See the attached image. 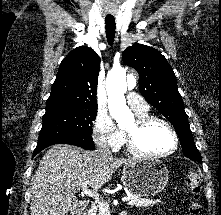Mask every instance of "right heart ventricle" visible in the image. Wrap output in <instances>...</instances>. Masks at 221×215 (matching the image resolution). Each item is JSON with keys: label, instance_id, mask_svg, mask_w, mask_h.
<instances>
[{"label": "right heart ventricle", "instance_id": "1", "mask_svg": "<svg viewBox=\"0 0 221 215\" xmlns=\"http://www.w3.org/2000/svg\"><path fill=\"white\" fill-rule=\"evenodd\" d=\"M138 117H143V116H147V112L144 113H135Z\"/></svg>", "mask_w": 221, "mask_h": 215}]
</instances>
